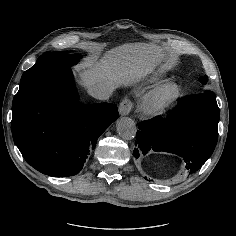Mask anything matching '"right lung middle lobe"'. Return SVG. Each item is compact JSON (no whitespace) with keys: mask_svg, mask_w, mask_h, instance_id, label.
<instances>
[{"mask_svg":"<svg viewBox=\"0 0 236 236\" xmlns=\"http://www.w3.org/2000/svg\"><path fill=\"white\" fill-rule=\"evenodd\" d=\"M81 55L67 54L64 52H51L40 56L37 62L21 77L20 85L40 75L54 72L63 68L71 67L76 64Z\"/></svg>","mask_w":236,"mask_h":236,"instance_id":"right-lung-middle-lobe-1","label":"right lung middle lobe"}]
</instances>
